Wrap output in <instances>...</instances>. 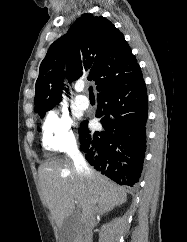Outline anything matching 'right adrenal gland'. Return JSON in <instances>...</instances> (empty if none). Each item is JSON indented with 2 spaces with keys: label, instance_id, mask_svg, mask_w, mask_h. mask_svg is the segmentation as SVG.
<instances>
[{
  "label": "right adrenal gland",
  "instance_id": "2a0ac1e0",
  "mask_svg": "<svg viewBox=\"0 0 187 242\" xmlns=\"http://www.w3.org/2000/svg\"><path fill=\"white\" fill-rule=\"evenodd\" d=\"M105 213V212H104ZM104 213H101V215H103ZM98 219H99V216H98Z\"/></svg>",
  "mask_w": 187,
  "mask_h": 242
}]
</instances>
